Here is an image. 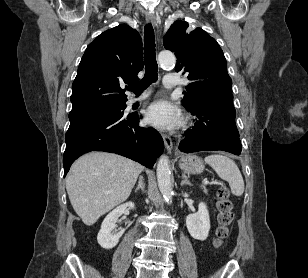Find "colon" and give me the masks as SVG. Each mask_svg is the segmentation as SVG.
<instances>
[{
    "label": "colon",
    "instance_id": "colon-1",
    "mask_svg": "<svg viewBox=\"0 0 308 278\" xmlns=\"http://www.w3.org/2000/svg\"><path fill=\"white\" fill-rule=\"evenodd\" d=\"M218 215V228L216 232L215 246H220L229 235V228L234 221L233 203L229 190L222 187L218 191L216 203Z\"/></svg>",
    "mask_w": 308,
    "mask_h": 278
}]
</instances>
